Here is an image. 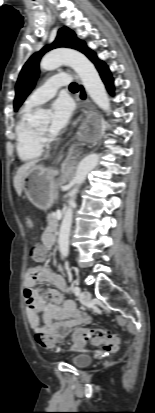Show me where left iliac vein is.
I'll use <instances>...</instances> for the list:
<instances>
[{
	"mask_svg": "<svg viewBox=\"0 0 155 413\" xmlns=\"http://www.w3.org/2000/svg\"><path fill=\"white\" fill-rule=\"evenodd\" d=\"M91 300V293L88 290H84L80 294L81 303L85 304Z\"/></svg>",
	"mask_w": 155,
	"mask_h": 413,
	"instance_id": "obj_1",
	"label": "left iliac vein"
}]
</instances>
